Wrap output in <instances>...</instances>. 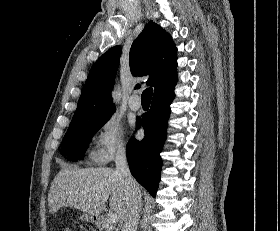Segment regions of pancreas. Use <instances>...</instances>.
I'll list each match as a JSON object with an SVG mask.
<instances>
[{
  "label": "pancreas",
  "mask_w": 280,
  "mask_h": 231,
  "mask_svg": "<svg viewBox=\"0 0 280 231\" xmlns=\"http://www.w3.org/2000/svg\"><path fill=\"white\" fill-rule=\"evenodd\" d=\"M105 231H118V227H115L114 223H109V221H103L102 223Z\"/></svg>",
  "instance_id": "cf45deb5"
}]
</instances>
